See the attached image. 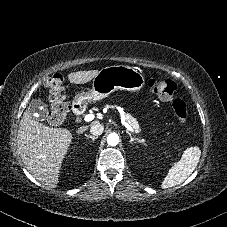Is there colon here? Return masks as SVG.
<instances>
[{
  "label": "colon",
  "mask_w": 227,
  "mask_h": 227,
  "mask_svg": "<svg viewBox=\"0 0 227 227\" xmlns=\"http://www.w3.org/2000/svg\"><path fill=\"white\" fill-rule=\"evenodd\" d=\"M50 93L49 121L53 125L62 124L68 114L69 105L64 96V78L61 74H53L45 83ZM148 87L162 101L172 102L174 116L182 123L186 122L188 112L181 100L175 99L177 86L172 80H158L151 78Z\"/></svg>",
  "instance_id": "5ec220e1"
}]
</instances>
